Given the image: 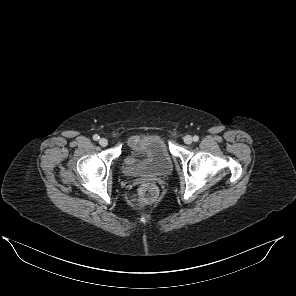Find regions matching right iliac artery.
Listing matches in <instances>:
<instances>
[{
    "mask_svg": "<svg viewBox=\"0 0 296 296\" xmlns=\"http://www.w3.org/2000/svg\"><path fill=\"white\" fill-rule=\"evenodd\" d=\"M99 138H100V137H99L97 134H95V135L93 136V139H94L95 141H97Z\"/></svg>",
    "mask_w": 296,
    "mask_h": 296,
    "instance_id": "obj_1",
    "label": "right iliac artery"
}]
</instances>
